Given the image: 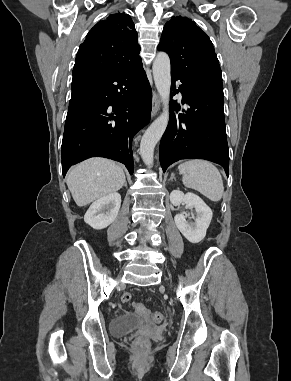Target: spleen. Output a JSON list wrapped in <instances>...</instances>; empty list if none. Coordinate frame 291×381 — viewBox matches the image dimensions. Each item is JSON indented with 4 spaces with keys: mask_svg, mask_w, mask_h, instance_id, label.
<instances>
[{
    "mask_svg": "<svg viewBox=\"0 0 291 381\" xmlns=\"http://www.w3.org/2000/svg\"><path fill=\"white\" fill-rule=\"evenodd\" d=\"M178 169L186 187L197 190L213 202L221 200L223 181L219 170L212 163L193 159L180 164Z\"/></svg>",
    "mask_w": 291,
    "mask_h": 381,
    "instance_id": "3e777b00",
    "label": "spleen"
}]
</instances>
